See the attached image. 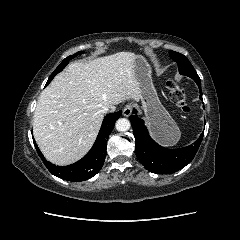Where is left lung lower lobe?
<instances>
[{"label": "left lung lower lobe", "instance_id": "0a47b994", "mask_svg": "<svg viewBox=\"0 0 240 240\" xmlns=\"http://www.w3.org/2000/svg\"><path fill=\"white\" fill-rule=\"evenodd\" d=\"M192 79L199 87L201 93L199 98L202 100L201 80L199 76ZM129 119L134 131L136 155L148 171L156 174L173 173L190 163L196 155L204 135L203 132L193 145L175 150L166 149L151 139L144 121L138 117L135 109Z\"/></svg>", "mask_w": 240, "mask_h": 240}]
</instances>
